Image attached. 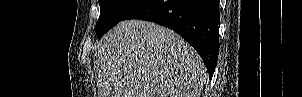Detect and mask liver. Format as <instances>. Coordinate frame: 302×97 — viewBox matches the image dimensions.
<instances>
[{"mask_svg":"<svg viewBox=\"0 0 302 97\" xmlns=\"http://www.w3.org/2000/svg\"><path fill=\"white\" fill-rule=\"evenodd\" d=\"M98 97H199L207 73L177 33L142 20L121 21L94 54Z\"/></svg>","mask_w":302,"mask_h":97,"instance_id":"obj_1","label":"liver"}]
</instances>
